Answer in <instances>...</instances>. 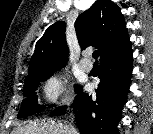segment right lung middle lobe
<instances>
[{"mask_svg":"<svg viewBox=\"0 0 153 134\" xmlns=\"http://www.w3.org/2000/svg\"><path fill=\"white\" fill-rule=\"evenodd\" d=\"M62 67L48 69L34 75L28 76L25 79V86L23 89L24 99L21 104L20 111L18 113V118H24L27 116H31L37 112H40L45 109V106L37 103V87L40 82L47 80L50 78L54 72L60 70ZM80 88V86H75V92Z\"/></svg>","mask_w":153,"mask_h":134,"instance_id":"dd1d6c3e","label":"right lung middle lobe"}]
</instances>
